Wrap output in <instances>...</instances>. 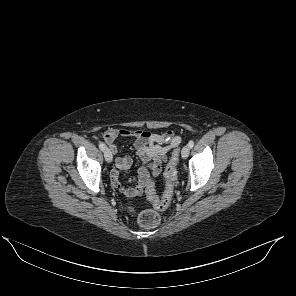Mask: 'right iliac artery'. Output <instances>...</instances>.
Here are the masks:
<instances>
[{
	"mask_svg": "<svg viewBox=\"0 0 296 296\" xmlns=\"http://www.w3.org/2000/svg\"><path fill=\"white\" fill-rule=\"evenodd\" d=\"M99 148H100V150L104 151L105 150V145L102 142H100L99 143Z\"/></svg>",
	"mask_w": 296,
	"mask_h": 296,
	"instance_id": "1",
	"label": "right iliac artery"
}]
</instances>
